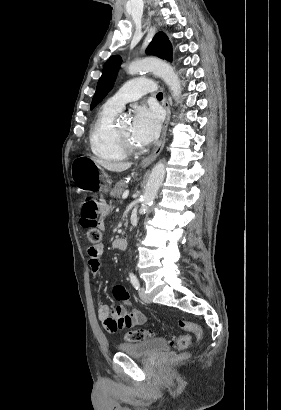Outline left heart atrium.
Listing matches in <instances>:
<instances>
[{"mask_svg": "<svg viewBox=\"0 0 281 410\" xmlns=\"http://www.w3.org/2000/svg\"><path fill=\"white\" fill-rule=\"evenodd\" d=\"M161 117L156 109L139 107L136 109L131 136L138 145H148L159 135Z\"/></svg>", "mask_w": 281, "mask_h": 410, "instance_id": "39dd6f15", "label": "left heart atrium"}]
</instances>
